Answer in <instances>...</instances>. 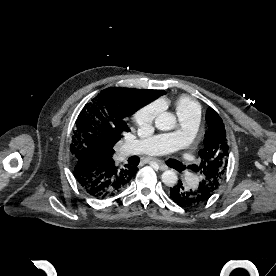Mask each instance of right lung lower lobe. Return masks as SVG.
Listing matches in <instances>:
<instances>
[{"label": "right lung lower lobe", "mask_w": 276, "mask_h": 276, "mask_svg": "<svg viewBox=\"0 0 276 276\" xmlns=\"http://www.w3.org/2000/svg\"><path fill=\"white\" fill-rule=\"evenodd\" d=\"M73 174L83 191L97 199L118 195L137 173L136 167H116L114 161H102L95 155H78L72 162Z\"/></svg>", "instance_id": "1"}]
</instances>
